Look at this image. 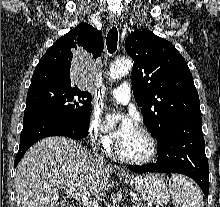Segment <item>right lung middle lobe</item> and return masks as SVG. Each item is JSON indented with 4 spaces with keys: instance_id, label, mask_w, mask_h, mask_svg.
I'll list each match as a JSON object with an SVG mask.
<instances>
[{
    "instance_id": "dd1d6c3e",
    "label": "right lung middle lobe",
    "mask_w": 220,
    "mask_h": 207,
    "mask_svg": "<svg viewBox=\"0 0 220 207\" xmlns=\"http://www.w3.org/2000/svg\"><path fill=\"white\" fill-rule=\"evenodd\" d=\"M91 94L78 87L51 83L29 87L24 115L44 112L89 122Z\"/></svg>"
}]
</instances>
